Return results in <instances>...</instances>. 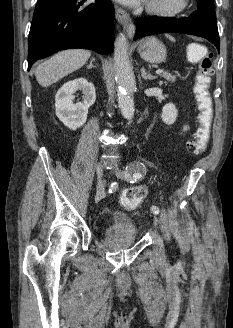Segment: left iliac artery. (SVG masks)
I'll list each match as a JSON object with an SVG mask.
<instances>
[{
  "label": "left iliac artery",
  "mask_w": 233,
  "mask_h": 328,
  "mask_svg": "<svg viewBox=\"0 0 233 328\" xmlns=\"http://www.w3.org/2000/svg\"><path fill=\"white\" fill-rule=\"evenodd\" d=\"M140 178H142V174L141 173H134L133 178L131 179V183L136 182L137 180H139ZM151 211L154 214H158L159 213V208L157 206H151Z\"/></svg>",
  "instance_id": "44dca946"
}]
</instances>
